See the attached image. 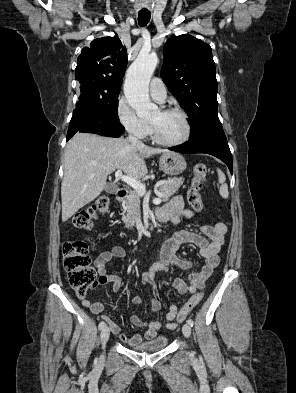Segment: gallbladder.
I'll list each match as a JSON object with an SVG mask.
<instances>
[{"mask_svg":"<svg viewBox=\"0 0 296 393\" xmlns=\"http://www.w3.org/2000/svg\"><path fill=\"white\" fill-rule=\"evenodd\" d=\"M118 190V187L115 184L108 183L105 187L106 193L113 194Z\"/></svg>","mask_w":296,"mask_h":393,"instance_id":"bac80fb5","label":"gallbladder"}]
</instances>
